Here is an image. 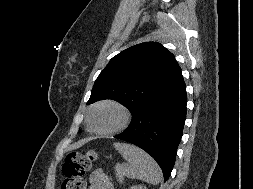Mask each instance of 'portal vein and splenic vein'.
Segmentation results:
<instances>
[{
    "label": "portal vein and splenic vein",
    "mask_w": 253,
    "mask_h": 189,
    "mask_svg": "<svg viewBox=\"0 0 253 189\" xmlns=\"http://www.w3.org/2000/svg\"><path fill=\"white\" fill-rule=\"evenodd\" d=\"M120 165H116V170H119Z\"/></svg>",
    "instance_id": "portal-vein-and-splenic-vein-1"
}]
</instances>
